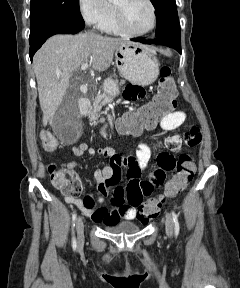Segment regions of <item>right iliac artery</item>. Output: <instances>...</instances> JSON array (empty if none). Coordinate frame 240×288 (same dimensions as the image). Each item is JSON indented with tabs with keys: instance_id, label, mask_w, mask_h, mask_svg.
<instances>
[{
	"instance_id": "1",
	"label": "right iliac artery",
	"mask_w": 240,
	"mask_h": 288,
	"mask_svg": "<svg viewBox=\"0 0 240 288\" xmlns=\"http://www.w3.org/2000/svg\"><path fill=\"white\" fill-rule=\"evenodd\" d=\"M76 213H74L73 215H72V222H73V226H74V222H75V220H76ZM72 248H73V250H75L76 248H77V241H76V238L74 237V235H73V237H72Z\"/></svg>"
}]
</instances>
